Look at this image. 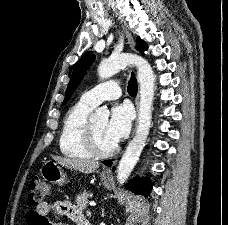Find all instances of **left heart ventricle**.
Here are the masks:
<instances>
[{
  "label": "left heart ventricle",
  "mask_w": 228,
  "mask_h": 225,
  "mask_svg": "<svg viewBox=\"0 0 228 225\" xmlns=\"http://www.w3.org/2000/svg\"><path fill=\"white\" fill-rule=\"evenodd\" d=\"M92 125L94 127V130L98 136L99 141L103 146H110L114 142L107 138L106 136V127H107V121L106 120H100L92 122Z\"/></svg>",
  "instance_id": "obj_1"
}]
</instances>
